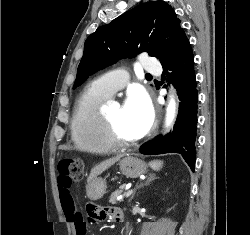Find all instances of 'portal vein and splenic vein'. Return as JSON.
Listing matches in <instances>:
<instances>
[{"label": "portal vein and splenic vein", "mask_w": 250, "mask_h": 235, "mask_svg": "<svg viewBox=\"0 0 250 235\" xmlns=\"http://www.w3.org/2000/svg\"><path fill=\"white\" fill-rule=\"evenodd\" d=\"M132 193H133V190H129L126 192L125 196L129 197ZM121 199H122V196L117 197V200H121Z\"/></svg>", "instance_id": "18ae733b"}]
</instances>
